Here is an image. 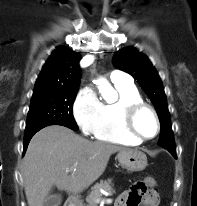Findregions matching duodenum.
<instances>
[{"instance_id":"obj_1","label":"duodenum","mask_w":197,"mask_h":206,"mask_svg":"<svg viewBox=\"0 0 197 206\" xmlns=\"http://www.w3.org/2000/svg\"><path fill=\"white\" fill-rule=\"evenodd\" d=\"M76 199L75 198H70L66 206H75Z\"/></svg>"}]
</instances>
